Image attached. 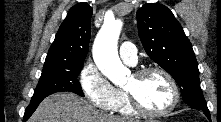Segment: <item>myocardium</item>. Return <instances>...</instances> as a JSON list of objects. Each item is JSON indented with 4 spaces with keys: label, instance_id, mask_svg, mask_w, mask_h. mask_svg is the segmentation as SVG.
Segmentation results:
<instances>
[{
    "label": "myocardium",
    "instance_id": "obj_1",
    "mask_svg": "<svg viewBox=\"0 0 221 122\" xmlns=\"http://www.w3.org/2000/svg\"><path fill=\"white\" fill-rule=\"evenodd\" d=\"M151 73H158L162 75L170 86L172 98H171L170 104L165 109L159 110V111L149 110L142 105V103L139 101L137 95L135 94L133 90L126 88L125 93L127 95V98L132 108L138 114L148 116V117H162V116L168 115L176 108L179 102V89L172 75L161 67H157V66L145 67V68L137 70L133 76L136 80H140L146 75L151 74Z\"/></svg>",
    "mask_w": 221,
    "mask_h": 122
}]
</instances>
